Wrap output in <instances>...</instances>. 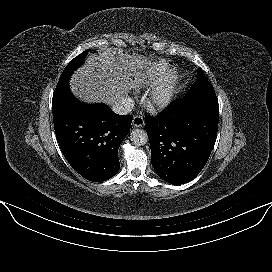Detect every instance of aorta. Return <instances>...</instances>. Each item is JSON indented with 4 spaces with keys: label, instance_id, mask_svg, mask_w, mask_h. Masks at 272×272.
Instances as JSON below:
<instances>
[{
    "label": "aorta",
    "instance_id": "aorta-1",
    "mask_svg": "<svg viewBox=\"0 0 272 272\" xmlns=\"http://www.w3.org/2000/svg\"><path fill=\"white\" fill-rule=\"evenodd\" d=\"M130 140L135 146H143L148 142V135L143 129H134L130 133Z\"/></svg>",
    "mask_w": 272,
    "mask_h": 272
}]
</instances>
